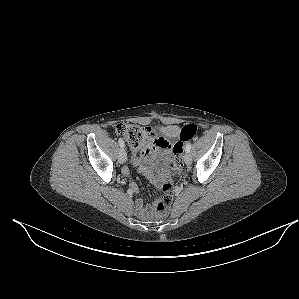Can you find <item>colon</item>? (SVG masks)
<instances>
[{
  "mask_svg": "<svg viewBox=\"0 0 299 299\" xmlns=\"http://www.w3.org/2000/svg\"><path fill=\"white\" fill-rule=\"evenodd\" d=\"M197 126L194 124L185 125L180 133V139L173 146L174 153V169L179 174L183 168V149L186 142L193 139L197 134ZM115 132L124 137L130 147L140 149L143 147L149 130L147 127L130 124L120 123L115 127ZM164 196L159 199L155 204L154 215L163 216L165 215L173 201V190L170 184L164 185Z\"/></svg>",
  "mask_w": 299,
  "mask_h": 299,
  "instance_id": "1",
  "label": "colon"
}]
</instances>
